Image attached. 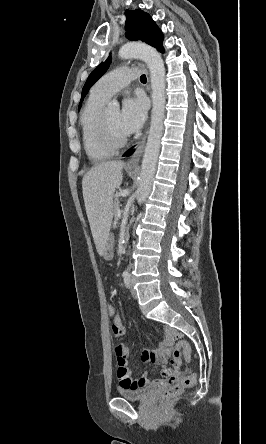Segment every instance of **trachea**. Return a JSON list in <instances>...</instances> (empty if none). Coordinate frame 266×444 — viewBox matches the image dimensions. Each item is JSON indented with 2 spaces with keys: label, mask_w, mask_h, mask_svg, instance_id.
<instances>
[{
  "label": "trachea",
  "mask_w": 266,
  "mask_h": 444,
  "mask_svg": "<svg viewBox=\"0 0 266 444\" xmlns=\"http://www.w3.org/2000/svg\"><path fill=\"white\" fill-rule=\"evenodd\" d=\"M140 81L141 82H146L147 81V78H146L145 74L140 76Z\"/></svg>",
  "instance_id": "1"
}]
</instances>
